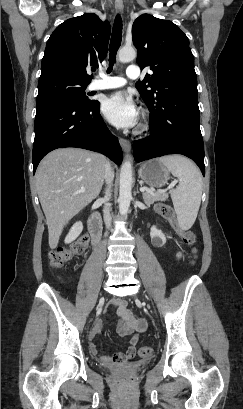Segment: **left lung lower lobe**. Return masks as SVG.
Segmentation results:
<instances>
[{
	"instance_id": "obj_1",
	"label": "left lung lower lobe",
	"mask_w": 243,
	"mask_h": 409,
	"mask_svg": "<svg viewBox=\"0 0 243 409\" xmlns=\"http://www.w3.org/2000/svg\"><path fill=\"white\" fill-rule=\"evenodd\" d=\"M149 111L151 135L134 142L135 161L141 162L167 154H182L191 158L205 176L198 91H177Z\"/></svg>"
}]
</instances>
